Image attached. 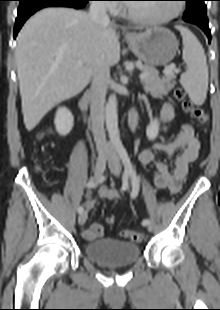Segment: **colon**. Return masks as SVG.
<instances>
[{
    "instance_id": "5ec220e1",
    "label": "colon",
    "mask_w": 220,
    "mask_h": 310,
    "mask_svg": "<svg viewBox=\"0 0 220 310\" xmlns=\"http://www.w3.org/2000/svg\"><path fill=\"white\" fill-rule=\"evenodd\" d=\"M175 97L181 101L183 109L188 112L192 117H194L199 123L206 124L208 122L209 116L206 110L199 105L194 104L192 101L187 99L186 93L183 89L178 88L175 91ZM116 218L114 215L107 217V223L113 224ZM121 237L128 238L134 242H141L144 238V234L139 231L133 230H122L120 232Z\"/></svg>"
}]
</instances>
